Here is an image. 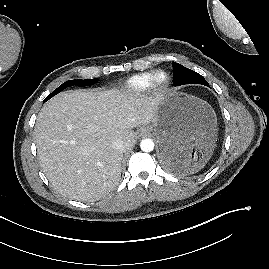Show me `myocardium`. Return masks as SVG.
I'll return each instance as SVG.
<instances>
[{
    "mask_svg": "<svg viewBox=\"0 0 269 269\" xmlns=\"http://www.w3.org/2000/svg\"><path fill=\"white\" fill-rule=\"evenodd\" d=\"M171 78L168 72L159 69L153 73L151 86L154 91H164L170 85Z\"/></svg>",
    "mask_w": 269,
    "mask_h": 269,
    "instance_id": "obj_1",
    "label": "myocardium"
}]
</instances>
